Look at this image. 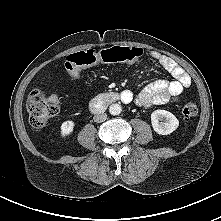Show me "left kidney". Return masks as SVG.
<instances>
[{"instance_id": "5707ae66", "label": "left kidney", "mask_w": 221, "mask_h": 221, "mask_svg": "<svg viewBox=\"0 0 221 221\" xmlns=\"http://www.w3.org/2000/svg\"><path fill=\"white\" fill-rule=\"evenodd\" d=\"M151 123L154 131L160 135H168L179 126V121L171 112L155 110L151 114Z\"/></svg>"}]
</instances>
